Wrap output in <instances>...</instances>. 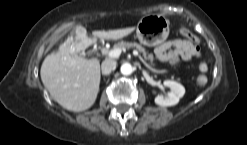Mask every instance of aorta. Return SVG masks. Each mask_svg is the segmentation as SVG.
<instances>
[{
	"mask_svg": "<svg viewBox=\"0 0 247 145\" xmlns=\"http://www.w3.org/2000/svg\"><path fill=\"white\" fill-rule=\"evenodd\" d=\"M120 71L123 75H130L133 72V67L130 63H124L121 65Z\"/></svg>",
	"mask_w": 247,
	"mask_h": 145,
	"instance_id": "762f6f07",
	"label": "aorta"
}]
</instances>
